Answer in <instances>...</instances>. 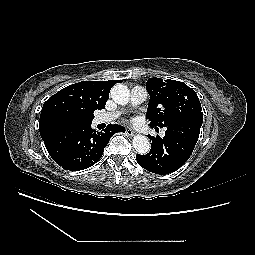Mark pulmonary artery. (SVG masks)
Returning <instances> with one entry per match:
<instances>
[{"label": "pulmonary artery", "mask_w": 255, "mask_h": 255, "mask_svg": "<svg viewBox=\"0 0 255 255\" xmlns=\"http://www.w3.org/2000/svg\"><path fill=\"white\" fill-rule=\"evenodd\" d=\"M147 92L142 86H135L131 90L130 94V104L136 106L141 104L147 99ZM124 113L123 109H119L112 112H105L96 117L97 123H110L116 120L119 116Z\"/></svg>", "instance_id": "1"}]
</instances>
